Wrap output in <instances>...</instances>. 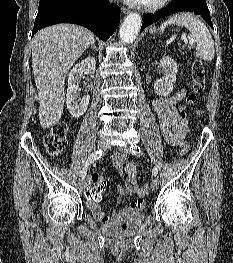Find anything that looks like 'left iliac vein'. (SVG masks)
I'll return each instance as SVG.
<instances>
[{
  "label": "left iliac vein",
  "instance_id": "1",
  "mask_svg": "<svg viewBox=\"0 0 233 263\" xmlns=\"http://www.w3.org/2000/svg\"><path fill=\"white\" fill-rule=\"evenodd\" d=\"M119 150L122 153H128L129 152V146L128 145H121V146H119ZM158 186H159V179L154 178L151 182V189L153 191H156L158 189Z\"/></svg>",
  "mask_w": 233,
  "mask_h": 263
}]
</instances>
